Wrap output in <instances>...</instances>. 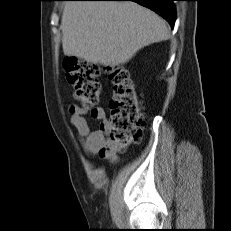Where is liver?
<instances>
[{"instance_id": "6515ba94", "label": "liver", "mask_w": 231, "mask_h": 231, "mask_svg": "<svg viewBox=\"0 0 231 231\" xmlns=\"http://www.w3.org/2000/svg\"><path fill=\"white\" fill-rule=\"evenodd\" d=\"M61 29L65 55L110 67L170 37L164 19L134 2L69 1Z\"/></svg>"}]
</instances>
